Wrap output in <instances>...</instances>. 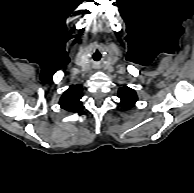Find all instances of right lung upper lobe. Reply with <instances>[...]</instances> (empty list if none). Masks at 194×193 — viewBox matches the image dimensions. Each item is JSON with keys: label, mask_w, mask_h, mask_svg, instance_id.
<instances>
[{"label": "right lung upper lobe", "mask_w": 194, "mask_h": 193, "mask_svg": "<svg viewBox=\"0 0 194 193\" xmlns=\"http://www.w3.org/2000/svg\"><path fill=\"white\" fill-rule=\"evenodd\" d=\"M82 87L80 85L70 86L64 92L59 103L61 107L69 112H76L81 106Z\"/></svg>", "instance_id": "obj_1"}]
</instances>
